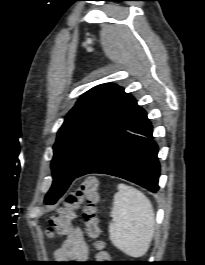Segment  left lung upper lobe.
<instances>
[{"label": "left lung upper lobe", "mask_w": 205, "mask_h": 265, "mask_svg": "<svg viewBox=\"0 0 205 265\" xmlns=\"http://www.w3.org/2000/svg\"><path fill=\"white\" fill-rule=\"evenodd\" d=\"M135 99L117 85H98L81 96L67 114L53 146V184L45 196L54 204L83 166L117 134L138 109Z\"/></svg>", "instance_id": "5c2ea615"}]
</instances>
